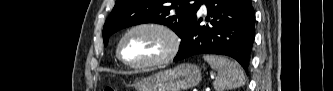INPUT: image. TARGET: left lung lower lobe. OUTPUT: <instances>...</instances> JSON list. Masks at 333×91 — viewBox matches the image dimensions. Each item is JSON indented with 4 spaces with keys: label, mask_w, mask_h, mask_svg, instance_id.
<instances>
[{
    "label": "left lung lower lobe",
    "mask_w": 333,
    "mask_h": 91,
    "mask_svg": "<svg viewBox=\"0 0 333 91\" xmlns=\"http://www.w3.org/2000/svg\"><path fill=\"white\" fill-rule=\"evenodd\" d=\"M201 4L207 7L210 24L200 25ZM180 36L181 44L174 61L210 53L236 59L247 72L255 36V12L251 0H202Z\"/></svg>",
    "instance_id": "0a47b994"
}]
</instances>
